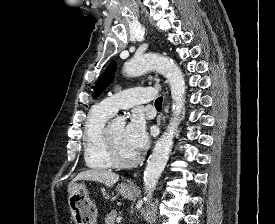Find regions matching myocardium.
<instances>
[{
  "label": "myocardium",
  "instance_id": "1",
  "mask_svg": "<svg viewBox=\"0 0 275 224\" xmlns=\"http://www.w3.org/2000/svg\"><path fill=\"white\" fill-rule=\"evenodd\" d=\"M103 144L110 162L115 167L129 168L135 166L140 161L139 155H136L131 159H123L119 156L112 141L109 127H105L104 129Z\"/></svg>",
  "mask_w": 275,
  "mask_h": 224
}]
</instances>
